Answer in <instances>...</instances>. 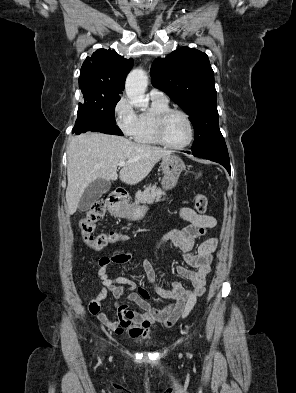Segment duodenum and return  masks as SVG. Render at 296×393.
Returning a JSON list of instances; mask_svg holds the SVG:
<instances>
[{"instance_id": "1", "label": "duodenum", "mask_w": 296, "mask_h": 393, "mask_svg": "<svg viewBox=\"0 0 296 393\" xmlns=\"http://www.w3.org/2000/svg\"><path fill=\"white\" fill-rule=\"evenodd\" d=\"M126 200L124 191L118 189L108 198V205L112 212L120 208L121 204Z\"/></svg>"}]
</instances>
